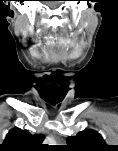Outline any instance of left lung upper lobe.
I'll return each mask as SVG.
<instances>
[{"label": "left lung upper lobe", "mask_w": 118, "mask_h": 151, "mask_svg": "<svg viewBox=\"0 0 118 151\" xmlns=\"http://www.w3.org/2000/svg\"><path fill=\"white\" fill-rule=\"evenodd\" d=\"M68 150L99 151L106 147L102 136L94 130H84L74 137H67Z\"/></svg>", "instance_id": "left-lung-upper-lobe-1"}]
</instances>
